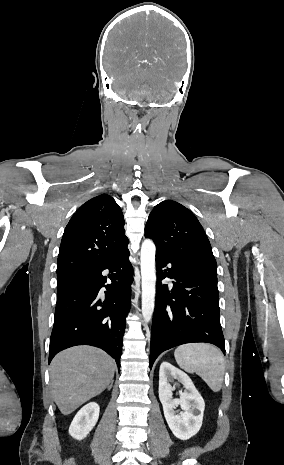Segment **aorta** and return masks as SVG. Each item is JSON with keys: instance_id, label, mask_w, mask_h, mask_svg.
<instances>
[{"instance_id": "1", "label": "aorta", "mask_w": 284, "mask_h": 465, "mask_svg": "<svg viewBox=\"0 0 284 465\" xmlns=\"http://www.w3.org/2000/svg\"><path fill=\"white\" fill-rule=\"evenodd\" d=\"M155 254L153 241L144 240L141 246L142 316L147 323L151 320L155 307Z\"/></svg>"}]
</instances>
